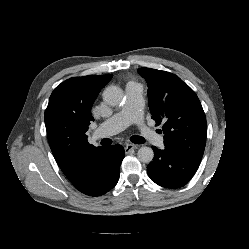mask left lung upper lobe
<instances>
[{
  "label": "left lung upper lobe",
  "mask_w": 249,
  "mask_h": 249,
  "mask_svg": "<svg viewBox=\"0 0 249 249\" xmlns=\"http://www.w3.org/2000/svg\"><path fill=\"white\" fill-rule=\"evenodd\" d=\"M156 125L163 123L164 144L201 161L207 136L206 117L196 93L178 76L140 68Z\"/></svg>",
  "instance_id": "1"
}]
</instances>
